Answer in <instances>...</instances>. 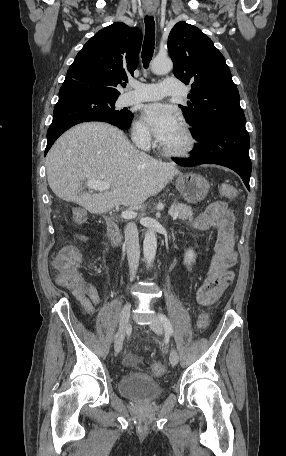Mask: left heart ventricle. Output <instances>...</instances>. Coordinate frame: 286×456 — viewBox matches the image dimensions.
Segmentation results:
<instances>
[{
  "instance_id": "1",
  "label": "left heart ventricle",
  "mask_w": 286,
  "mask_h": 456,
  "mask_svg": "<svg viewBox=\"0 0 286 456\" xmlns=\"http://www.w3.org/2000/svg\"><path fill=\"white\" fill-rule=\"evenodd\" d=\"M186 143V139L179 128L177 132L169 138L166 142L162 143L164 147H167L169 149H180L182 148Z\"/></svg>"
}]
</instances>
